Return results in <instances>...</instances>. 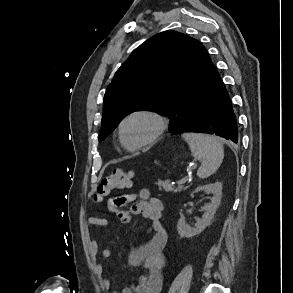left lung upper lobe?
<instances>
[{"label":"left lung upper lobe","mask_w":293,"mask_h":293,"mask_svg":"<svg viewBox=\"0 0 293 293\" xmlns=\"http://www.w3.org/2000/svg\"><path fill=\"white\" fill-rule=\"evenodd\" d=\"M213 63L196 39L175 31L156 34L135 49L109 84L103 101L99 140L128 114L158 110L180 122L185 103L208 81Z\"/></svg>","instance_id":"left-lung-upper-lobe-1"}]
</instances>
